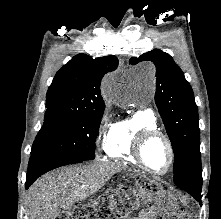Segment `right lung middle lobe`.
Wrapping results in <instances>:
<instances>
[{"mask_svg": "<svg viewBox=\"0 0 221 219\" xmlns=\"http://www.w3.org/2000/svg\"><path fill=\"white\" fill-rule=\"evenodd\" d=\"M103 111L47 107L44 124L36 136L31 153L48 150L83 161L94 159L95 140Z\"/></svg>", "mask_w": 221, "mask_h": 219, "instance_id": "obj_1", "label": "right lung middle lobe"}]
</instances>
